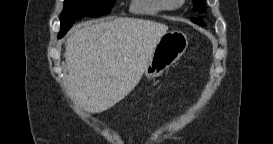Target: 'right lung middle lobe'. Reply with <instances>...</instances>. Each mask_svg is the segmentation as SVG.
<instances>
[{
    "label": "right lung middle lobe",
    "mask_w": 273,
    "mask_h": 144,
    "mask_svg": "<svg viewBox=\"0 0 273 144\" xmlns=\"http://www.w3.org/2000/svg\"><path fill=\"white\" fill-rule=\"evenodd\" d=\"M115 0H65L61 13V30L58 38H62L73 25L75 19L84 16L97 17L108 14Z\"/></svg>",
    "instance_id": "obj_1"
}]
</instances>
